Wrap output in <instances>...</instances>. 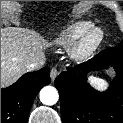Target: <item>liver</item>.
<instances>
[{
    "label": "liver",
    "instance_id": "1",
    "mask_svg": "<svg viewBox=\"0 0 123 123\" xmlns=\"http://www.w3.org/2000/svg\"><path fill=\"white\" fill-rule=\"evenodd\" d=\"M46 46L34 30L11 25L1 27V88L26 73V65L44 56Z\"/></svg>",
    "mask_w": 123,
    "mask_h": 123
}]
</instances>
